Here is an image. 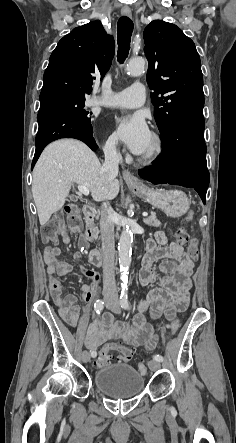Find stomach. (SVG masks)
Segmentation results:
<instances>
[{
	"instance_id": "obj_1",
	"label": "stomach",
	"mask_w": 236,
	"mask_h": 443,
	"mask_svg": "<svg viewBox=\"0 0 236 443\" xmlns=\"http://www.w3.org/2000/svg\"><path fill=\"white\" fill-rule=\"evenodd\" d=\"M131 190L172 218L181 217L189 209V200L186 194L180 190L154 189L147 186L131 187Z\"/></svg>"
}]
</instances>
